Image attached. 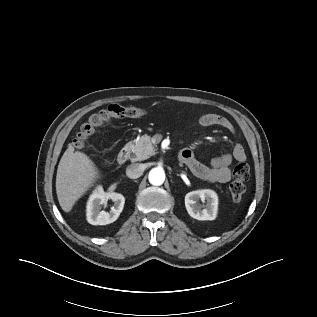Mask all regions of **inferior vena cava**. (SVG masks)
Segmentation results:
<instances>
[{
  "mask_svg": "<svg viewBox=\"0 0 317 317\" xmlns=\"http://www.w3.org/2000/svg\"><path fill=\"white\" fill-rule=\"evenodd\" d=\"M144 172V167L141 164L129 165L126 169V175L131 179L139 178Z\"/></svg>",
  "mask_w": 317,
  "mask_h": 317,
  "instance_id": "inferior-vena-cava-1",
  "label": "inferior vena cava"
}]
</instances>
